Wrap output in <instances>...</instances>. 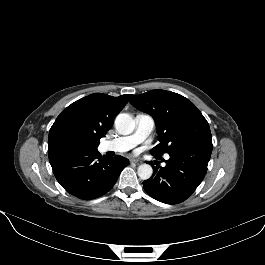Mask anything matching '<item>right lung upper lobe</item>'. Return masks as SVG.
Masks as SVG:
<instances>
[{"label":"right lung upper lobe","mask_w":265,"mask_h":265,"mask_svg":"<svg viewBox=\"0 0 265 265\" xmlns=\"http://www.w3.org/2000/svg\"><path fill=\"white\" fill-rule=\"evenodd\" d=\"M131 94L112 97L95 93L69 105L57 117L49 131L48 154L71 150V140L78 138L98 146L110 129L116 115L127 104Z\"/></svg>","instance_id":"right-lung-upper-lobe-1"}]
</instances>
